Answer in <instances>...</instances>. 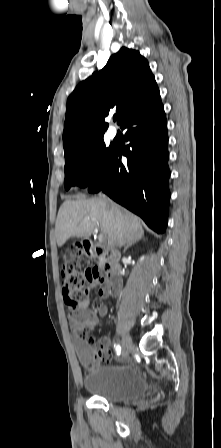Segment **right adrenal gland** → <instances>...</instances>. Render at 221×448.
<instances>
[{"instance_id":"2a0ac1e0","label":"right adrenal gland","mask_w":221,"mask_h":448,"mask_svg":"<svg viewBox=\"0 0 221 448\" xmlns=\"http://www.w3.org/2000/svg\"><path fill=\"white\" fill-rule=\"evenodd\" d=\"M135 243H136V241L128 243V244L126 245L124 251H127V249H128L129 247H131L132 245H134Z\"/></svg>"}]
</instances>
